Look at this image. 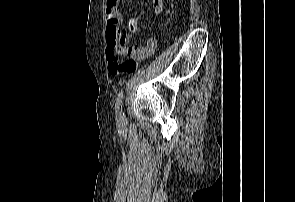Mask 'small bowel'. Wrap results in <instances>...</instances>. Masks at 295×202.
<instances>
[{
  "label": "small bowel",
  "instance_id": "obj_1",
  "mask_svg": "<svg viewBox=\"0 0 295 202\" xmlns=\"http://www.w3.org/2000/svg\"><path fill=\"white\" fill-rule=\"evenodd\" d=\"M163 0H152V7L150 11L154 15H158L163 11ZM147 11L143 10L140 14L133 18V22L145 14ZM106 17L109 24L115 22L117 25L123 22V16L118 9L117 0H107L106 1ZM130 28H133L132 24ZM124 41L119 47H108L107 57L109 60V72L113 75H119L125 72H133L135 70V65L133 63H120L121 54H127L132 59L142 60L151 56L157 46L156 40L154 38L149 39L145 47H140L137 45L128 44V36L126 30H123Z\"/></svg>",
  "mask_w": 295,
  "mask_h": 202
}]
</instances>
